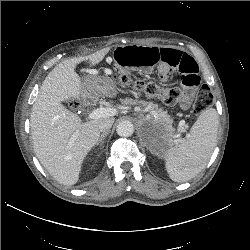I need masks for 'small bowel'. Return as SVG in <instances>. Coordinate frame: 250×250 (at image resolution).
I'll return each instance as SVG.
<instances>
[{"instance_id": "c3829d8e", "label": "small bowel", "mask_w": 250, "mask_h": 250, "mask_svg": "<svg viewBox=\"0 0 250 250\" xmlns=\"http://www.w3.org/2000/svg\"><path fill=\"white\" fill-rule=\"evenodd\" d=\"M113 66L120 72L136 73L142 76L157 74L167 81L173 73H179L182 87L192 91L200 85L201 79L197 62L190 55L172 48H157L136 45H124L115 49ZM190 95L182 104L187 107Z\"/></svg>"}]
</instances>
